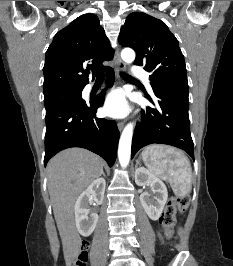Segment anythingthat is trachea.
<instances>
[{"label":"trachea","mask_w":233,"mask_h":266,"mask_svg":"<svg viewBox=\"0 0 233 266\" xmlns=\"http://www.w3.org/2000/svg\"><path fill=\"white\" fill-rule=\"evenodd\" d=\"M120 75H121V77L124 78V79L135 80V79H133L131 76L127 75V74L124 73V72H120ZM96 78H97V79H103V78H104V75H103V74H97V75H96Z\"/></svg>","instance_id":"1"}]
</instances>
